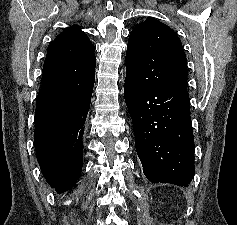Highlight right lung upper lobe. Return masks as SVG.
I'll return each instance as SVG.
<instances>
[{"instance_id": "right-lung-upper-lobe-1", "label": "right lung upper lobe", "mask_w": 237, "mask_h": 225, "mask_svg": "<svg viewBox=\"0 0 237 225\" xmlns=\"http://www.w3.org/2000/svg\"><path fill=\"white\" fill-rule=\"evenodd\" d=\"M95 47L80 26L66 28L50 44L39 93L75 90L95 79Z\"/></svg>"}]
</instances>
